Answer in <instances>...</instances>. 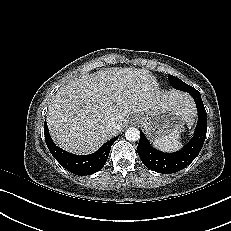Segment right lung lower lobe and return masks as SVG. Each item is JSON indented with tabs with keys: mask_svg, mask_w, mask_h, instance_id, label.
Wrapping results in <instances>:
<instances>
[{
	"mask_svg": "<svg viewBox=\"0 0 231 231\" xmlns=\"http://www.w3.org/2000/svg\"><path fill=\"white\" fill-rule=\"evenodd\" d=\"M46 145L53 157L67 170L76 175H91L98 172L106 163L112 144L117 137L107 141L98 151L90 155L71 154L55 145L50 137L47 123L44 124Z\"/></svg>",
	"mask_w": 231,
	"mask_h": 231,
	"instance_id": "obj_1",
	"label": "right lung lower lobe"
}]
</instances>
